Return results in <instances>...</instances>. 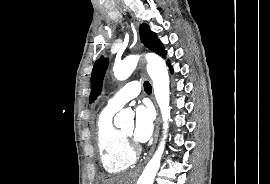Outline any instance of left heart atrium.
Segmentation results:
<instances>
[{
  "label": "left heart atrium",
  "mask_w": 270,
  "mask_h": 184,
  "mask_svg": "<svg viewBox=\"0 0 270 184\" xmlns=\"http://www.w3.org/2000/svg\"><path fill=\"white\" fill-rule=\"evenodd\" d=\"M134 138L138 142L148 141L154 129V113L149 106L140 105L135 110Z\"/></svg>",
  "instance_id": "39dd6f15"
}]
</instances>
